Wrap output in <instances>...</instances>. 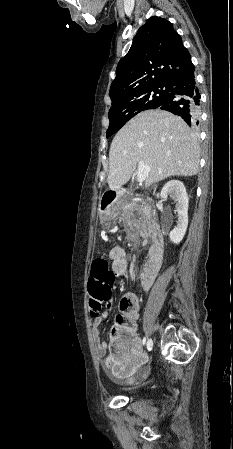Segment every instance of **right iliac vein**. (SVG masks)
I'll return each instance as SVG.
<instances>
[{"instance_id": "1", "label": "right iliac vein", "mask_w": 233, "mask_h": 449, "mask_svg": "<svg viewBox=\"0 0 233 449\" xmlns=\"http://www.w3.org/2000/svg\"><path fill=\"white\" fill-rule=\"evenodd\" d=\"M148 342H152L153 343V341H152V339L150 338V339H148Z\"/></svg>"}]
</instances>
